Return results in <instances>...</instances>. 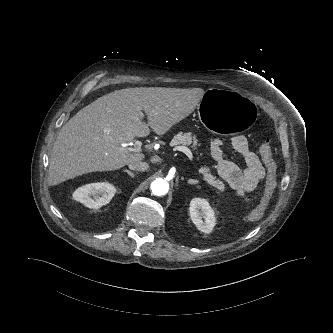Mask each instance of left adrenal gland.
Segmentation results:
<instances>
[{
    "label": "left adrenal gland",
    "mask_w": 333,
    "mask_h": 333,
    "mask_svg": "<svg viewBox=\"0 0 333 333\" xmlns=\"http://www.w3.org/2000/svg\"><path fill=\"white\" fill-rule=\"evenodd\" d=\"M199 181L198 180H194V179H189L188 180V184H198Z\"/></svg>",
    "instance_id": "a2214340"
}]
</instances>
